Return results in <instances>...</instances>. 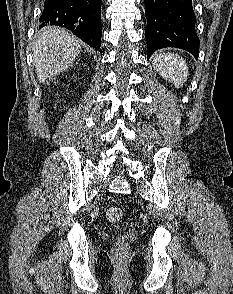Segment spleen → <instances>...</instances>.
I'll return each mask as SVG.
<instances>
[{"mask_svg":"<svg viewBox=\"0 0 233 294\" xmlns=\"http://www.w3.org/2000/svg\"><path fill=\"white\" fill-rule=\"evenodd\" d=\"M153 66L158 73L179 88L187 81L189 75L185 60L171 52H158L153 57Z\"/></svg>","mask_w":233,"mask_h":294,"instance_id":"spleen-1","label":"spleen"}]
</instances>
